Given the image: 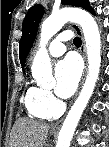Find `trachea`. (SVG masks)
I'll return each instance as SVG.
<instances>
[{
    "label": "trachea",
    "instance_id": "obj_1",
    "mask_svg": "<svg viewBox=\"0 0 109 147\" xmlns=\"http://www.w3.org/2000/svg\"><path fill=\"white\" fill-rule=\"evenodd\" d=\"M74 45H81L82 41L79 37H75L73 40Z\"/></svg>",
    "mask_w": 109,
    "mask_h": 147
}]
</instances>
